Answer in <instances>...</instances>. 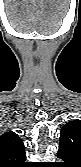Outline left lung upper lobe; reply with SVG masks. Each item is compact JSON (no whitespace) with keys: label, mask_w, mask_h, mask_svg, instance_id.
<instances>
[{"label":"left lung upper lobe","mask_w":81,"mask_h":167,"mask_svg":"<svg viewBox=\"0 0 81 167\" xmlns=\"http://www.w3.org/2000/svg\"><path fill=\"white\" fill-rule=\"evenodd\" d=\"M58 153L68 164L79 167L81 164V121L74 120L63 126Z\"/></svg>","instance_id":"1"}]
</instances>
